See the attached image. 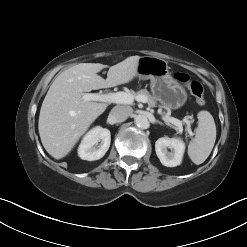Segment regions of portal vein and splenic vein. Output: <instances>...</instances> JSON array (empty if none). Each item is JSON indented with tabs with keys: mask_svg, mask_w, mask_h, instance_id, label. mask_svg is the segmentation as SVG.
Here are the masks:
<instances>
[{
	"mask_svg": "<svg viewBox=\"0 0 247 247\" xmlns=\"http://www.w3.org/2000/svg\"><path fill=\"white\" fill-rule=\"evenodd\" d=\"M84 101H98L105 103H116V104H132L134 99L138 102H146V98L144 96H138L134 98L131 94L126 92H116V93H108V94H100V93H84L82 96ZM165 122L172 123L178 127L180 133L183 132V121L173 117H162ZM187 124V131L192 134L190 123L187 120H184Z\"/></svg>",
	"mask_w": 247,
	"mask_h": 247,
	"instance_id": "1",
	"label": "portal vein and splenic vein"
}]
</instances>
